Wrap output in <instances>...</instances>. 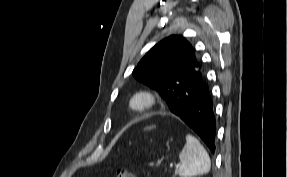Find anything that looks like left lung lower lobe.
<instances>
[{"mask_svg": "<svg viewBox=\"0 0 287 177\" xmlns=\"http://www.w3.org/2000/svg\"><path fill=\"white\" fill-rule=\"evenodd\" d=\"M169 108L191 127L214 153L216 123L213 102L204 77L192 87L183 88L177 102L172 103Z\"/></svg>", "mask_w": 287, "mask_h": 177, "instance_id": "0a47b994", "label": "left lung lower lobe"}]
</instances>
